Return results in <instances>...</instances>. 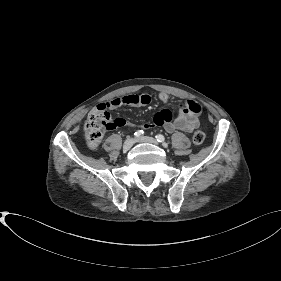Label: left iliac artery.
Instances as JSON below:
<instances>
[{
  "label": "left iliac artery",
  "mask_w": 281,
  "mask_h": 281,
  "mask_svg": "<svg viewBox=\"0 0 281 281\" xmlns=\"http://www.w3.org/2000/svg\"><path fill=\"white\" fill-rule=\"evenodd\" d=\"M155 138H156V140H157L158 142H164V141H165V137H164L163 135H161V134H157V135L155 136Z\"/></svg>",
  "instance_id": "44dca946"
}]
</instances>
